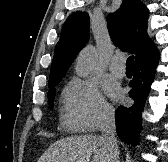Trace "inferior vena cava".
Segmentation results:
<instances>
[{"instance_id":"obj_1","label":"inferior vena cava","mask_w":168,"mask_h":162,"mask_svg":"<svg viewBox=\"0 0 168 162\" xmlns=\"http://www.w3.org/2000/svg\"><path fill=\"white\" fill-rule=\"evenodd\" d=\"M102 131V141L106 149L110 152L111 162H119V148L115 138L116 125L115 113L113 109H105L100 125Z\"/></svg>"}]
</instances>
